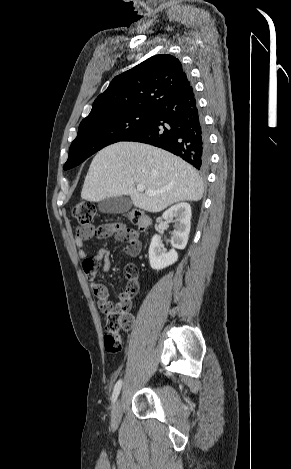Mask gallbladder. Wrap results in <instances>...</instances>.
<instances>
[{"mask_svg": "<svg viewBox=\"0 0 291 469\" xmlns=\"http://www.w3.org/2000/svg\"><path fill=\"white\" fill-rule=\"evenodd\" d=\"M132 206V202L126 196L108 197L100 201L98 208L102 213L120 214L127 212Z\"/></svg>", "mask_w": 291, "mask_h": 469, "instance_id": "1", "label": "gallbladder"}]
</instances>
